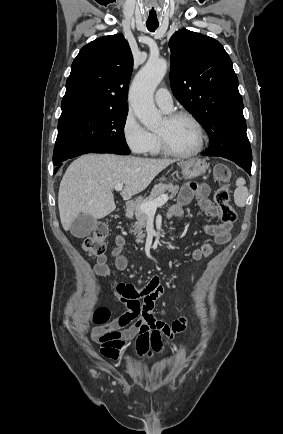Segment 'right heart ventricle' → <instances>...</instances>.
<instances>
[{
  "label": "right heart ventricle",
  "instance_id": "1",
  "mask_svg": "<svg viewBox=\"0 0 283 434\" xmlns=\"http://www.w3.org/2000/svg\"><path fill=\"white\" fill-rule=\"evenodd\" d=\"M161 151L162 150H161V147H160V143H159L158 137H157L156 134H153V141H152V144H151L148 152L151 155H158V154L161 153Z\"/></svg>",
  "mask_w": 283,
  "mask_h": 434
}]
</instances>
